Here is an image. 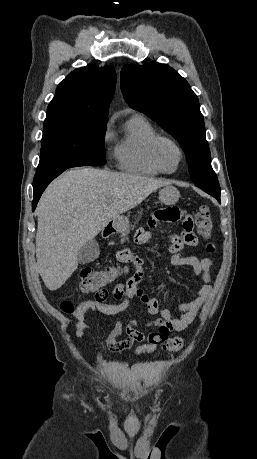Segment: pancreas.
Wrapping results in <instances>:
<instances>
[{"instance_id": "cf45deb5", "label": "pancreas", "mask_w": 257, "mask_h": 459, "mask_svg": "<svg viewBox=\"0 0 257 459\" xmlns=\"http://www.w3.org/2000/svg\"><path fill=\"white\" fill-rule=\"evenodd\" d=\"M131 227H134V226H131ZM128 233H129V229L125 230V231L122 233V236H126Z\"/></svg>"}]
</instances>
